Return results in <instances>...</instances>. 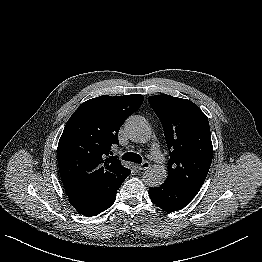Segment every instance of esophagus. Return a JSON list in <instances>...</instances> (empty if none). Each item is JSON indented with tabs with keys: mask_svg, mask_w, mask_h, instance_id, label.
Returning <instances> with one entry per match:
<instances>
[{
	"mask_svg": "<svg viewBox=\"0 0 262 262\" xmlns=\"http://www.w3.org/2000/svg\"><path fill=\"white\" fill-rule=\"evenodd\" d=\"M150 166H151L150 162L144 161L142 164L137 165V168L139 170H147L150 168Z\"/></svg>",
	"mask_w": 262,
	"mask_h": 262,
	"instance_id": "1",
	"label": "esophagus"
}]
</instances>
